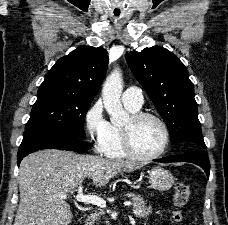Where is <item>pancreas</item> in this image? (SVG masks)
<instances>
[{"label":"pancreas","mask_w":228,"mask_h":225,"mask_svg":"<svg viewBox=\"0 0 228 225\" xmlns=\"http://www.w3.org/2000/svg\"><path fill=\"white\" fill-rule=\"evenodd\" d=\"M130 195H133V193H130ZM132 203L134 215H136V217H139V219H145V217H148V215H150L152 207H145L146 203L144 199H141V197H132ZM99 211L100 213H98V211L92 213L91 217L87 219V221H91V223H87V225H93L94 221H97L100 215H104L101 209H99Z\"/></svg>","instance_id":"obj_1"}]
</instances>
